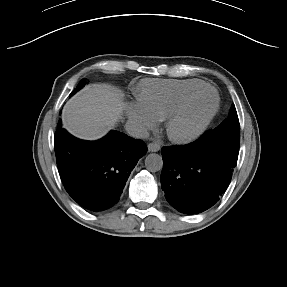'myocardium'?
Returning a JSON list of instances; mask_svg holds the SVG:
<instances>
[{
    "mask_svg": "<svg viewBox=\"0 0 287 287\" xmlns=\"http://www.w3.org/2000/svg\"><path fill=\"white\" fill-rule=\"evenodd\" d=\"M203 91H209L213 95V106L209 113L205 116V118L198 123L193 129L187 132H179L177 130V124L180 121L181 117L183 116L187 106L189 105L190 101L199 93ZM220 106V98L217 91L209 85H203L198 88L193 89L192 91L188 92L175 106L173 111L166 119V133L168 138L178 144H186L192 142L193 140L197 139L201 136L207 127L210 125L212 120L214 119L215 115L217 114Z\"/></svg>",
    "mask_w": 287,
    "mask_h": 287,
    "instance_id": "1",
    "label": "myocardium"
}]
</instances>
